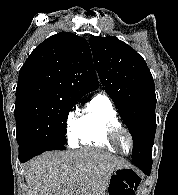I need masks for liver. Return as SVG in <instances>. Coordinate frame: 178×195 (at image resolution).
<instances>
[{
  "label": "liver",
  "mask_w": 178,
  "mask_h": 195,
  "mask_svg": "<svg viewBox=\"0 0 178 195\" xmlns=\"http://www.w3.org/2000/svg\"><path fill=\"white\" fill-rule=\"evenodd\" d=\"M121 157L93 148L46 152L24 166L26 195H105Z\"/></svg>",
  "instance_id": "liver-1"
}]
</instances>
